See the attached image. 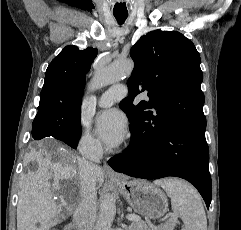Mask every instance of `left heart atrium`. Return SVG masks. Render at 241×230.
Wrapping results in <instances>:
<instances>
[{
  "instance_id": "left-heart-atrium-1",
  "label": "left heart atrium",
  "mask_w": 241,
  "mask_h": 230,
  "mask_svg": "<svg viewBox=\"0 0 241 230\" xmlns=\"http://www.w3.org/2000/svg\"><path fill=\"white\" fill-rule=\"evenodd\" d=\"M95 131L105 145L117 147L126 136V118L116 109L105 110L96 119Z\"/></svg>"
}]
</instances>
